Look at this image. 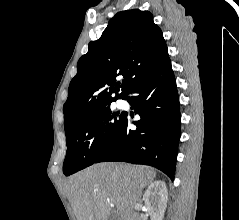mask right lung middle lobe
Instances as JSON below:
<instances>
[{"label": "right lung middle lobe", "mask_w": 239, "mask_h": 220, "mask_svg": "<svg viewBox=\"0 0 239 220\" xmlns=\"http://www.w3.org/2000/svg\"><path fill=\"white\" fill-rule=\"evenodd\" d=\"M125 114L110 105L95 109L75 121L67 130V153L63 173L69 176L92 164L111 143Z\"/></svg>", "instance_id": "dd1d6c3e"}]
</instances>
